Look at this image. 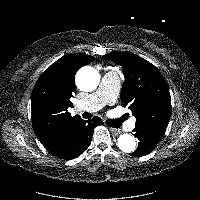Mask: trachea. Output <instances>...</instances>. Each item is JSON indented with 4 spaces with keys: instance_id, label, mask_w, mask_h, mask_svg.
Masks as SVG:
<instances>
[{
    "instance_id": "1",
    "label": "trachea",
    "mask_w": 200,
    "mask_h": 200,
    "mask_svg": "<svg viewBox=\"0 0 200 200\" xmlns=\"http://www.w3.org/2000/svg\"><path fill=\"white\" fill-rule=\"evenodd\" d=\"M92 117L91 113L85 112L83 113V118L85 119H90ZM126 119V117H121L120 119H111V120H107L106 123L108 126L110 127H119L121 126L122 122Z\"/></svg>"
}]
</instances>
